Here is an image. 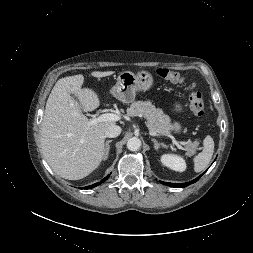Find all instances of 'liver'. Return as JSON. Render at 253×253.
Returning a JSON list of instances; mask_svg holds the SVG:
<instances>
[{
  "instance_id": "1",
  "label": "liver",
  "mask_w": 253,
  "mask_h": 253,
  "mask_svg": "<svg viewBox=\"0 0 253 253\" xmlns=\"http://www.w3.org/2000/svg\"><path fill=\"white\" fill-rule=\"evenodd\" d=\"M114 71H93V77L110 76ZM82 74L59 79L46 103L41 125L43 155L60 177L79 180L94 171L104 158L105 130L114 122L89 125L83 113L100 105L98 95L89 88L82 89ZM74 94L82 107L75 101Z\"/></svg>"
}]
</instances>
